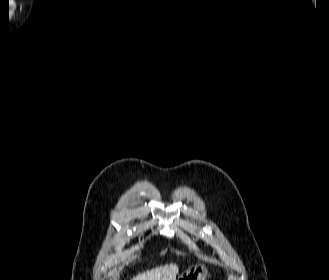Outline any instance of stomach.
Returning <instances> with one entry per match:
<instances>
[{"instance_id": "obj_1", "label": "stomach", "mask_w": 329, "mask_h": 280, "mask_svg": "<svg viewBox=\"0 0 329 280\" xmlns=\"http://www.w3.org/2000/svg\"><path fill=\"white\" fill-rule=\"evenodd\" d=\"M207 269L204 265H195L182 273L178 280H206Z\"/></svg>"}]
</instances>
